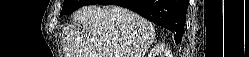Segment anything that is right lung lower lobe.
Listing matches in <instances>:
<instances>
[{"label": "right lung lower lobe", "instance_id": "1", "mask_svg": "<svg viewBox=\"0 0 249 57\" xmlns=\"http://www.w3.org/2000/svg\"><path fill=\"white\" fill-rule=\"evenodd\" d=\"M93 4L119 5L128 8L146 19L174 32L180 43L185 26L187 0H94Z\"/></svg>", "mask_w": 249, "mask_h": 57}]
</instances>
